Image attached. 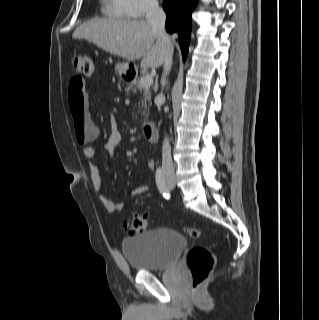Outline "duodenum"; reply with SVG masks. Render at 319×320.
Segmentation results:
<instances>
[{
  "instance_id": "1",
  "label": "duodenum",
  "mask_w": 319,
  "mask_h": 320,
  "mask_svg": "<svg viewBox=\"0 0 319 320\" xmlns=\"http://www.w3.org/2000/svg\"><path fill=\"white\" fill-rule=\"evenodd\" d=\"M143 133L149 142H155L158 138L156 125L153 123H146L143 126Z\"/></svg>"
}]
</instances>
